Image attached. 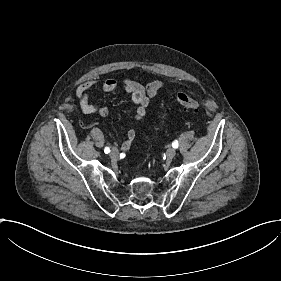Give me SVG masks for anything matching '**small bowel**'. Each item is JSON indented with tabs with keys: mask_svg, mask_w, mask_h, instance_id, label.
<instances>
[{
	"mask_svg": "<svg viewBox=\"0 0 281 281\" xmlns=\"http://www.w3.org/2000/svg\"><path fill=\"white\" fill-rule=\"evenodd\" d=\"M122 85L130 96L132 103L135 105L134 117L136 121H139L146 114L150 99L161 90L164 82L162 80H154L149 82L146 86H143L131 79L126 78L123 80ZM95 86L96 81L93 80L79 84L76 89V97L79 100L82 112L86 114H98L102 117H106L109 114L107 107L96 106L90 103L92 89ZM117 87L118 82L116 80L108 79L98 87L97 93L106 94L115 91ZM134 139L135 132L131 129L128 131L127 139L122 143L121 148L123 150L128 149Z\"/></svg>",
	"mask_w": 281,
	"mask_h": 281,
	"instance_id": "obj_1",
	"label": "small bowel"
}]
</instances>
